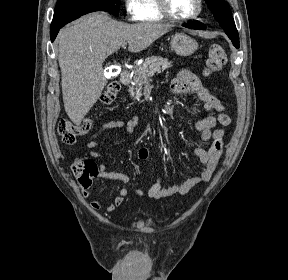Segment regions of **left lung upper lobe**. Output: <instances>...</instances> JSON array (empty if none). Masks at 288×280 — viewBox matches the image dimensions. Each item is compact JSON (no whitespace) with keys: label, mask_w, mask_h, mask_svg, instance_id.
<instances>
[{"label":"left lung upper lobe","mask_w":288,"mask_h":280,"mask_svg":"<svg viewBox=\"0 0 288 280\" xmlns=\"http://www.w3.org/2000/svg\"><path fill=\"white\" fill-rule=\"evenodd\" d=\"M205 2L213 13L214 18L219 22L220 26L231 39L233 45L239 47L238 31L229 4L225 0H205Z\"/></svg>","instance_id":"5c2ea615"}]
</instances>
